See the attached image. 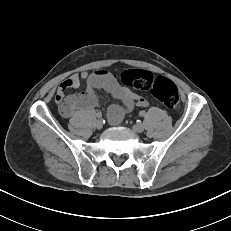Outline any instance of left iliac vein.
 I'll return each mask as SVG.
<instances>
[{
	"instance_id": "4c4485c4",
	"label": "left iliac vein",
	"mask_w": 231,
	"mask_h": 231,
	"mask_svg": "<svg viewBox=\"0 0 231 231\" xmlns=\"http://www.w3.org/2000/svg\"><path fill=\"white\" fill-rule=\"evenodd\" d=\"M144 125L142 123H136L133 125V131L136 133H141L144 131Z\"/></svg>"
}]
</instances>
